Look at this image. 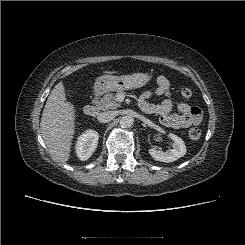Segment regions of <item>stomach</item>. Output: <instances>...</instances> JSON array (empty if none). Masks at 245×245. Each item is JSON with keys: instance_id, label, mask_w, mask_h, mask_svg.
Segmentation results:
<instances>
[{"instance_id": "stomach-1", "label": "stomach", "mask_w": 245, "mask_h": 245, "mask_svg": "<svg viewBox=\"0 0 245 245\" xmlns=\"http://www.w3.org/2000/svg\"><path fill=\"white\" fill-rule=\"evenodd\" d=\"M151 79L147 73H134L132 75H103L96 79L95 92L102 94L109 91L136 89L145 86Z\"/></svg>"}]
</instances>
